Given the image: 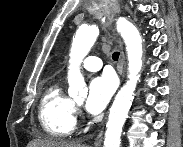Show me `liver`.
<instances>
[{"instance_id": "liver-1", "label": "liver", "mask_w": 183, "mask_h": 147, "mask_svg": "<svg viewBox=\"0 0 183 147\" xmlns=\"http://www.w3.org/2000/svg\"><path fill=\"white\" fill-rule=\"evenodd\" d=\"M27 147H84V145L76 142H67L53 138H38L31 141Z\"/></svg>"}]
</instances>
